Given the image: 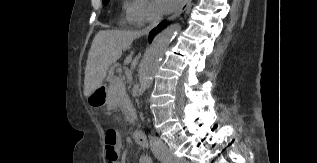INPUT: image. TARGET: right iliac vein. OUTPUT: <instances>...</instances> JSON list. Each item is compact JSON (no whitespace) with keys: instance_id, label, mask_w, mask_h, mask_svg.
<instances>
[{"instance_id":"obj_1","label":"right iliac vein","mask_w":317,"mask_h":163,"mask_svg":"<svg viewBox=\"0 0 317 163\" xmlns=\"http://www.w3.org/2000/svg\"><path fill=\"white\" fill-rule=\"evenodd\" d=\"M167 163H188V162H180V161L174 159V160L167 161Z\"/></svg>"}]
</instances>
